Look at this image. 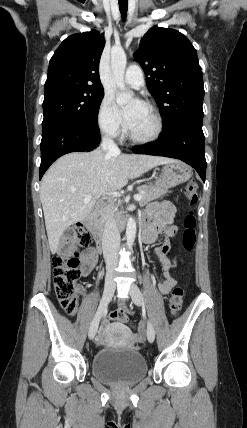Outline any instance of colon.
Instances as JSON below:
<instances>
[{
  "mask_svg": "<svg viewBox=\"0 0 247 428\" xmlns=\"http://www.w3.org/2000/svg\"><path fill=\"white\" fill-rule=\"evenodd\" d=\"M183 192L191 206L198 202V188L194 181L185 184ZM91 243V235L82 224L72 227L68 234L67 244L53 257L54 287L57 299L61 307L69 315L77 311L78 296L81 287L78 284L80 278V260L78 259L79 247H87ZM196 243V218L193 212H189L184 220V232L182 246L186 251H192ZM184 290L181 286H175L169 298V308L173 316H176L183 304ZM135 310H117L110 314L111 319L119 325L130 322ZM129 316V319H127ZM136 330V327H133Z\"/></svg>",
  "mask_w": 247,
  "mask_h": 428,
  "instance_id": "1",
  "label": "colon"
}]
</instances>
